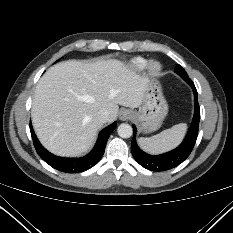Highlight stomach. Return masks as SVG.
<instances>
[{
    "label": "stomach",
    "mask_w": 233,
    "mask_h": 233,
    "mask_svg": "<svg viewBox=\"0 0 233 233\" xmlns=\"http://www.w3.org/2000/svg\"><path fill=\"white\" fill-rule=\"evenodd\" d=\"M168 113V105L157 81L149 80L139 110L134 119L142 132L149 133L160 128Z\"/></svg>",
    "instance_id": "obj_1"
}]
</instances>
